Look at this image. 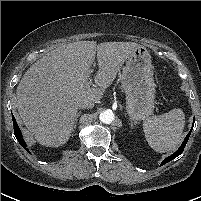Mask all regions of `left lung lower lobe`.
Segmentation results:
<instances>
[{"label":"left lung lower lobe","mask_w":201,"mask_h":201,"mask_svg":"<svg viewBox=\"0 0 201 201\" xmlns=\"http://www.w3.org/2000/svg\"><path fill=\"white\" fill-rule=\"evenodd\" d=\"M193 122H195V121H193ZM193 126H194V123H193ZM192 129H193V127L191 128L190 132L187 134L186 138L184 139V141H183L182 145L179 147V149H178L173 155L168 156V157L160 164V166H162V165H164V164L170 162L171 160L175 159L177 156H179V155L183 152V150H184V148H185V146H186V144H187V141H188V139H189V136H190V134H191V132H192Z\"/></svg>","instance_id":"left-lung-lower-lobe-1"}]
</instances>
